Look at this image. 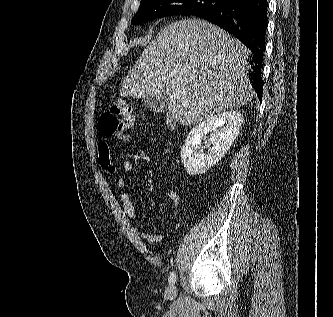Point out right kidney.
<instances>
[{"instance_id": "obj_1", "label": "right kidney", "mask_w": 333, "mask_h": 317, "mask_svg": "<svg viewBox=\"0 0 333 317\" xmlns=\"http://www.w3.org/2000/svg\"><path fill=\"white\" fill-rule=\"evenodd\" d=\"M243 120L239 111L229 110L213 115L192 128L181 149V160L187 173L203 174L218 163L238 136ZM219 127L222 129L218 130ZM208 133L210 138L206 139ZM202 140L203 148L200 147Z\"/></svg>"}]
</instances>
